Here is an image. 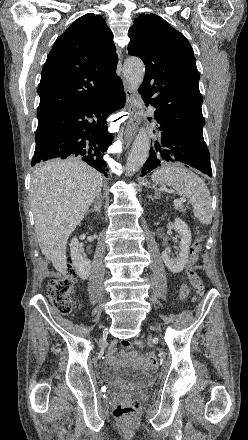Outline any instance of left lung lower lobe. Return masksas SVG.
<instances>
[{
	"label": "left lung lower lobe",
	"mask_w": 248,
	"mask_h": 440,
	"mask_svg": "<svg viewBox=\"0 0 248 440\" xmlns=\"http://www.w3.org/2000/svg\"><path fill=\"white\" fill-rule=\"evenodd\" d=\"M144 101L148 105L146 99ZM155 119L160 124L161 145L164 149H161L159 144H155L157 152L150 150V156L143 166L142 176L165 162H182L212 177L210 155L203 135L196 134L157 113Z\"/></svg>",
	"instance_id": "1"
}]
</instances>
